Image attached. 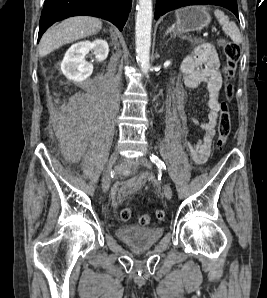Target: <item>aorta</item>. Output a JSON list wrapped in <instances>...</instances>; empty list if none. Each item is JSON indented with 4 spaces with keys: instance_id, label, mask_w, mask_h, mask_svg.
<instances>
[{
    "instance_id": "762f6f07",
    "label": "aorta",
    "mask_w": 267,
    "mask_h": 298,
    "mask_svg": "<svg viewBox=\"0 0 267 298\" xmlns=\"http://www.w3.org/2000/svg\"><path fill=\"white\" fill-rule=\"evenodd\" d=\"M152 27V0H138L135 43L136 54L143 73L150 68V47Z\"/></svg>"
}]
</instances>
